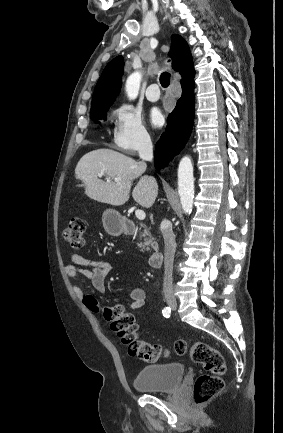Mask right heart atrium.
Instances as JSON below:
<instances>
[{
  "instance_id": "right-heart-atrium-1",
  "label": "right heart atrium",
  "mask_w": 283,
  "mask_h": 433,
  "mask_svg": "<svg viewBox=\"0 0 283 433\" xmlns=\"http://www.w3.org/2000/svg\"><path fill=\"white\" fill-rule=\"evenodd\" d=\"M113 119L112 148L126 155H136L152 147V137L140 110L120 104L113 111Z\"/></svg>"
}]
</instances>
